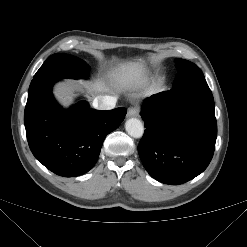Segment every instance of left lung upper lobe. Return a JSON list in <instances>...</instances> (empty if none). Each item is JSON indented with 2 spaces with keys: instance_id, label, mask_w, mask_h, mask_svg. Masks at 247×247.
Here are the masks:
<instances>
[{
  "instance_id": "5c2ea615",
  "label": "left lung upper lobe",
  "mask_w": 247,
  "mask_h": 247,
  "mask_svg": "<svg viewBox=\"0 0 247 247\" xmlns=\"http://www.w3.org/2000/svg\"><path fill=\"white\" fill-rule=\"evenodd\" d=\"M175 62L178 73L175 77L172 88L178 89L198 85H207L202 71L194 63L184 59H176Z\"/></svg>"
}]
</instances>
